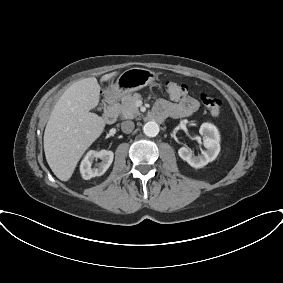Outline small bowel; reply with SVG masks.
Masks as SVG:
<instances>
[{"instance_id": "c3829d8e", "label": "small bowel", "mask_w": 283, "mask_h": 283, "mask_svg": "<svg viewBox=\"0 0 283 283\" xmlns=\"http://www.w3.org/2000/svg\"><path fill=\"white\" fill-rule=\"evenodd\" d=\"M173 102L160 100L154 112L167 116L188 117L197 111L199 104L196 98L190 95H184L180 98L173 99Z\"/></svg>"}]
</instances>
